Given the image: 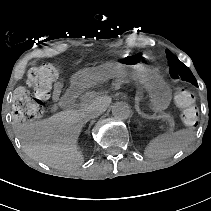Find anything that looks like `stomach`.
<instances>
[{
	"instance_id": "0dacf381",
	"label": "stomach",
	"mask_w": 211,
	"mask_h": 211,
	"mask_svg": "<svg viewBox=\"0 0 211 211\" xmlns=\"http://www.w3.org/2000/svg\"><path fill=\"white\" fill-rule=\"evenodd\" d=\"M110 78H118L123 82L133 80L142 84L150 94L151 105L155 112L164 111L170 104L172 97L170 87L157 71L144 65L117 63L86 69L74 77V82L78 86L89 87Z\"/></svg>"
}]
</instances>
